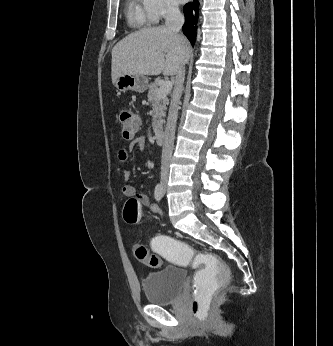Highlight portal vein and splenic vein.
Wrapping results in <instances>:
<instances>
[{
    "label": "portal vein and splenic vein",
    "instance_id": "portal-vein-and-splenic-vein-1",
    "mask_svg": "<svg viewBox=\"0 0 333 346\" xmlns=\"http://www.w3.org/2000/svg\"><path fill=\"white\" fill-rule=\"evenodd\" d=\"M172 89V82L170 81H165L162 83V85L160 86L158 92H157V96L158 97H163L166 96L167 94L170 93Z\"/></svg>",
    "mask_w": 333,
    "mask_h": 346
}]
</instances>
